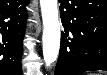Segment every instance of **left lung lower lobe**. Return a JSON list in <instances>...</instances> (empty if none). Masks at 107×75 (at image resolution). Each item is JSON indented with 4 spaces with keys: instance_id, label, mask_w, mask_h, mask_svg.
Returning a JSON list of instances; mask_svg holds the SVG:
<instances>
[{
    "instance_id": "0a47b994",
    "label": "left lung lower lobe",
    "mask_w": 107,
    "mask_h": 75,
    "mask_svg": "<svg viewBox=\"0 0 107 75\" xmlns=\"http://www.w3.org/2000/svg\"><path fill=\"white\" fill-rule=\"evenodd\" d=\"M60 15L64 26L60 55L54 75H77L85 71H107V0H60ZM97 4L95 7L91 6ZM79 16L84 24V36H66L69 24Z\"/></svg>"
}]
</instances>
